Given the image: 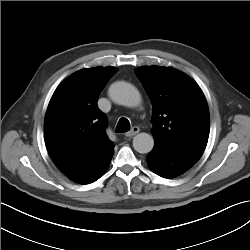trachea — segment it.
I'll list each match as a JSON object with an SVG mask.
<instances>
[{"label": "trachea", "instance_id": "3493384b", "mask_svg": "<svg viewBox=\"0 0 250 250\" xmlns=\"http://www.w3.org/2000/svg\"><path fill=\"white\" fill-rule=\"evenodd\" d=\"M130 130V122L126 118H121L118 121L116 132L117 133H125Z\"/></svg>", "mask_w": 250, "mask_h": 250}]
</instances>
